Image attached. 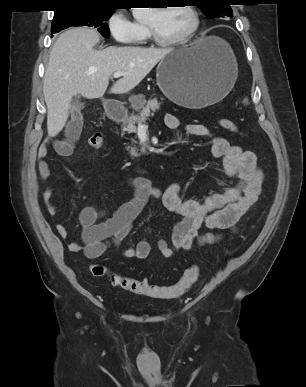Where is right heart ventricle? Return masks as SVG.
Returning a JSON list of instances; mask_svg holds the SVG:
<instances>
[{
    "label": "right heart ventricle",
    "mask_w": 306,
    "mask_h": 387,
    "mask_svg": "<svg viewBox=\"0 0 306 387\" xmlns=\"http://www.w3.org/2000/svg\"><path fill=\"white\" fill-rule=\"evenodd\" d=\"M140 29H141V37H140V40L138 42H143L147 39L148 37V32H147V29L145 27V25L143 24H138Z\"/></svg>",
    "instance_id": "obj_1"
}]
</instances>
